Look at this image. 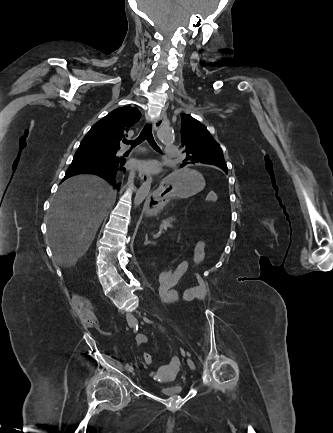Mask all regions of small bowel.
<instances>
[{
	"instance_id": "c3829d8e",
	"label": "small bowel",
	"mask_w": 333,
	"mask_h": 433,
	"mask_svg": "<svg viewBox=\"0 0 333 433\" xmlns=\"http://www.w3.org/2000/svg\"><path fill=\"white\" fill-rule=\"evenodd\" d=\"M205 248L206 243L204 241H198L194 246V264L198 267L201 266L205 260ZM189 268V260L183 259L179 262L175 269L172 271L174 275L170 284L165 287L160 285L159 290L162 288L165 290L163 293L160 291L162 299L167 303H179V302H191L194 300L203 301L208 294V286L203 277L198 276L197 283L191 287L186 288L181 294L175 289L180 278L186 273ZM166 294V297H163ZM148 342L147 335L139 333L135 337V343L137 346Z\"/></svg>"
}]
</instances>
